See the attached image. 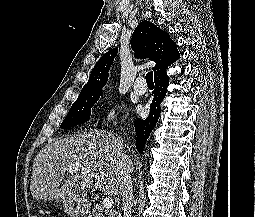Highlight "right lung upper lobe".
Segmentation results:
<instances>
[{
  "mask_svg": "<svg viewBox=\"0 0 255 217\" xmlns=\"http://www.w3.org/2000/svg\"><path fill=\"white\" fill-rule=\"evenodd\" d=\"M131 46L137 58H149L156 62L154 77L166 71V68L179 58L176 43L167 32L149 21H142L131 38ZM117 55V48L105 53L94 66L88 82L80 94L101 92L108 80V72Z\"/></svg>",
  "mask_w": 255,
  "mask_h": 217,
  "instance_id": "cb5924a9",
  "label": "right lung upper lobe"
}]
</instances>
